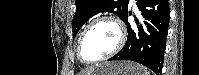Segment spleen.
<instances>
[{
    "label": "spleen",
    "mask_w": 199,
    "mask_h": 75,
    "mask_svg": "<svg viewBox=\"0 0 199 75\" xmlns=\"http://www.w3.org/2000/svg\"><path fill=\"white\" fill-rule=\"evenodd\" d=\"M144 75H149V72L145 71V72H144Z\"/></svg>",
    "instance_id": "spleen-1"
}]
</instances>
